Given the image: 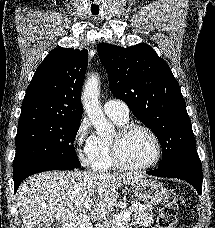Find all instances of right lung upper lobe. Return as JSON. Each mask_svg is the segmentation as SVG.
<instances>
[{
  "mask_svg": "<svg viewBox=\"0 0 215 228\" xmlns=\"http://www.w3.org/2000/svg\"><path fill=\"white\" fill-rule=\"evenodd\" d=\"M86 49H53L38 66L26 90L18 127L57 121H80Z\"/></svg>",
  "mask_w": 215,
  "mask_h": 228,
  "instance_id": "cb5924a9",
  "label": "right lung upper lobe"
}]
</instances>
